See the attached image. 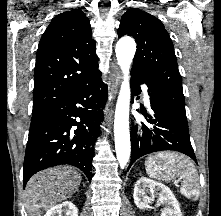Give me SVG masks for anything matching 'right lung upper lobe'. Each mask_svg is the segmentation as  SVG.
<instances>
[{"label":"right lung upper lobe","mask_w":221,"mask_h":216,"mask_svg":"<svg viewBox=\"0 0 221 216\" xmlns=\"http://www.w3.org/2000/svg\"><path fill=\"white\" fill-rule=\"evenodd\" d=\"M90 22L81 10L51 21L37 50L32 115H38L101 76Z\"/></svg>","instance_id":"1"}]
</instances>
